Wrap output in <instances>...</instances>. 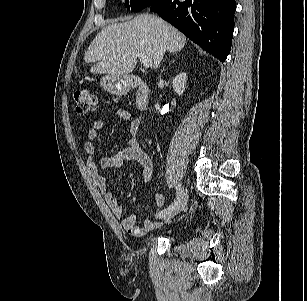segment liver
<instances>
[{
  "label": "liver",
  "instance_id": "6515ba94",
  "mask_svg": "<svg viewBox=\"0 0 307 301\" xmlns=\"http://www.w3.org/2000/svg\"><path fill=\"white\" fill-rule=\"evenodd\" d=\"M186 44V37L175 27L152 14H140L130 21L112 23L103 28L85 53L87 63H95L90 72L127 76L143 53L159 67L165 51L176 53Z\"/></svg>",
  "mask_w": 307,
  "mask_h": 301
}]
</instances>
